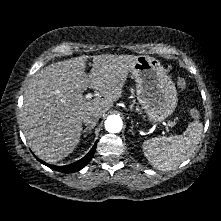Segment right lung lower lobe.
Here are the masks:
<instances>
[{
    "label": "right lung lower lobe",
    "instance_id": "right-lung-lower-lobe-1",
    "mask_svg": "<svg viewBox=\"0 0 221 221\" xmlns=\"http://www.w3.org/2000/svg\"><path fill=\"white\" fill-rule=\"evenodd\" d=\"M96 146H97V143L94 144V146L92 147V149L87 153V155H85L82 159L78 160L77 162L75 163H72V164H69V165H66V166H54V165H50V164H47L46 162L42 161V160H39L42 164L56 170V171H59V172H63V173H73V172H77L79 171L80 169H82L84 166H86L90 160L92 159L95 151H96Z\"/></svg>",
    "mask_w": 221,
    "mask_h": 221
}]
</instances>
